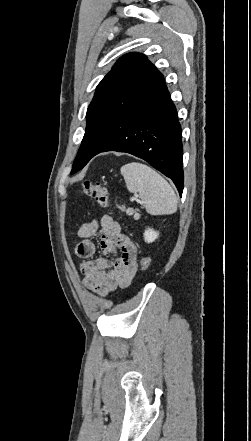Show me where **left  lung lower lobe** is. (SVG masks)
<instances>
[{
	"label": "left lung lower lobe",
	"instance_id": "obj_1",
	"mask_svg": "<svg viewBox=\"0 0 251 441\" xmlns=\"http://www.w3.org/2000/svg\"><path fill=\"white\" fill-rule=\"evenodd\" d=\"M83 141V167L101 152L130 153L172 179L182 195L181 126L163 77L135 102L128 114L107 115L92 123Z\"/></svg>",
	"mask_w": 251,
	"mask_h": 441
}]
</instances>
